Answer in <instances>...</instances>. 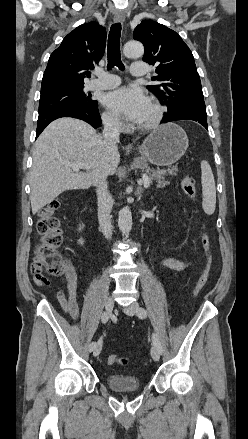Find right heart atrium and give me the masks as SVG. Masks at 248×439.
<instances>
[{
    "label": "right heart atrium",
    "mask_w": 248,
    "mask_h": 439,
    "mask_svg": "<svg viewBox=\"0 0 248 439\" xmlns=\"http://www.w3.org/2000/svg\"><path fill=\"white\" fill-rule=\"evenodd\" d=\"M102 121L104 125L109 129L120 131L123 128V124L119 117L112 112H104L102 114Z\"/></svg>",
    "instance_id": "obj_1"
}]
</instances>
